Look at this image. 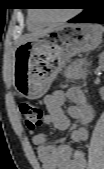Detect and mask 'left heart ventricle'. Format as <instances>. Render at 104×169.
Masks as SVG:
<instances>
[{
    "mask_svg": "<svg viewBox=\"0 0 104 169\" xmlns=\"http://www.w3.org/2000/svg\"><path fill=\"white\" fill-rule=\"evenodd\" d=\"M66 12L64 10H46L43 11L42 16L46 19L54 20L64 16Z\"/></svg>",
    "mask_w": 104,
    "mask_h": 169,
    "instance_id": "left-heart-ventricle-1",
    "label": "left heart ventricle"
}]
</instances>
